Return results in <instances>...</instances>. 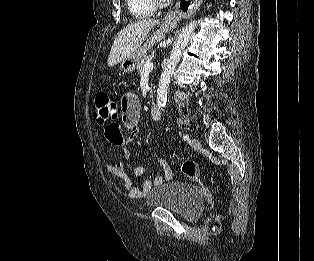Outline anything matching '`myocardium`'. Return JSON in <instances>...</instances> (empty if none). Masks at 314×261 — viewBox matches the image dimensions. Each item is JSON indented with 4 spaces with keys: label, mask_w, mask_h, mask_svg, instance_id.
I'll return each mask as SVG.
<instances>
[{
    "label": "myocardium",
    "mask_w": 314,
    "mask_h": 261,
    "mask_svg": "<svg viewBox=\"0 0 314 261\" xmlns=\"http://www.w3.org/2000/svg\"><path fill=\"white\" fill-rule=\"evenodd\" d=\"M154 5L158 8H164L168 5L170 0H152Z\"/></svg>",
    "instance_id": "obj_1"
}]
</instances>
